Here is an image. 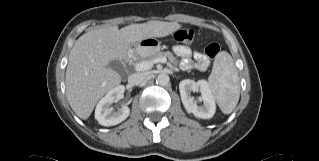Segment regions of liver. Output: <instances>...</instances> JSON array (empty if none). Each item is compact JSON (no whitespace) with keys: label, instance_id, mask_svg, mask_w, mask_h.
<instances>
[{"label":"liver","instance_id":"6515ba94","mask_svg":"<svg viewBox=\"0 0 319 161\" xmlns=\"http://www.w3.org/2000/svg\"><path fill=\"white\" fill-rule=\"evenodd\" d=\"M177 22L149 21L98 27L78 38L69 54L66 69V95L70 107L83 120L91 115L98 100L121 83L120 75L108 65L122 60L130 48L149 37H165L177 31Z\"/></svg>","mask_w":319,"mask_h":161}]
</instances>
